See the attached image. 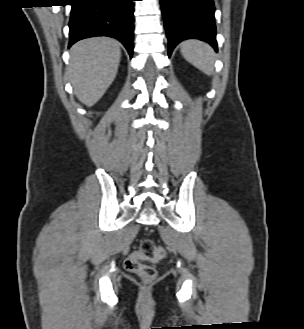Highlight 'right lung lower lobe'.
Returning a JSON list of instances; mask_svg holds the SVG:
<instances>
[{
    "label": "right lung lower lobe",
    "mask_w": 304,
    "mask_h": 329,
    "mask_svg": "<svg viewBox=\"0 0 304 329\" xmlns=\"http://www.w3.org/2000/svg\"><path fill=\"white\" fill-rule=\"evenodd\" d=\"M69 46L94 36L118 39L130 57L133 51L134 0H71Z\"/></svg>",
    "instance_id": "1"
}]
</instances>
